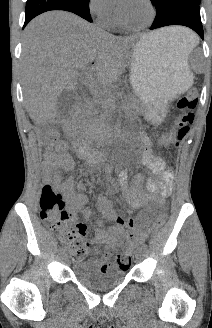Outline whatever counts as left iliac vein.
<instances>
[{
	"mask_svg": "<svg viewBox=\"0 0 212 328\" xmlns=\"http://www.w3.org/2000/svg\"><path fill=\"white\" fill-rule=\"evenodd\" d=\"M144 250L142 247H139L135 251V257L137 261H140L143 258Z\"/></svg>",
	"mask_w": 212,
	"mask_h": 328,
	"instance_id": "1",
	"label": "left iliac vein"
}]
</instances>
